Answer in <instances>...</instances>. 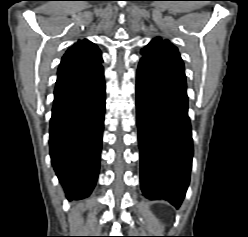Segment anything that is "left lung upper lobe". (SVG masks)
<instances>
[{
    "label": "left lung upper lobe",
    "instance_id": "5c2ea615",
    "mask_svg": "<svg viewBox=\"0 0 248 237\" xmlns=\"http://www.w3.org/2000/svg\"><path fill=\"white\" fill-rule=\"evenodd\" d=\"M144 60L162 69L164 72L174 77L185 79L184 64L178 49L157 37L142 49Z\"/></svg>",
    "mask_w": 248,
    "mask_h": 237
}]
</instances>
